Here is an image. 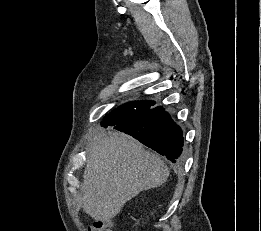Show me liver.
Returning <instances> with one entry per match:
<instances>
[{"label": "liver", "mask_w": 261, "mask_h": 231, "mask_svg": "<svg viewBox=\"0 0 261 231\" xmlns=\"http://www.w3.org/2000/svg\"><path fill=\"white\" fill-rule=\"evenodd\" d=\"M168 167L132 137L115 132L91 142L81 185L83 210L96 221H109L141 191L164 184Z\"/></svg>", "instance_id": "obj_1"}]
</instances>
